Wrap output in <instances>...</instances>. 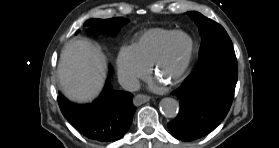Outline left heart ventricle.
Here are the masks:
<instances>
[{
    "instance_id": "left-heart-ventricle-1",
    "label": "left heart ventricle",
    "mask_w": 279,
    "mask_h": 148,
    "mask_svg": "<svg viewBox=\"0 0 279 148\" xmlns=\"http://www.w3.org/2000/svg\"><path fill=\"white\" fill-rule=\"evenodd\" d=\"M188 47V38L180 36L174 40L169 56L166 58L157 72L156 76L160 80L168 82L173 79L185 60Z\"/></svg>"
}]
</instances>
